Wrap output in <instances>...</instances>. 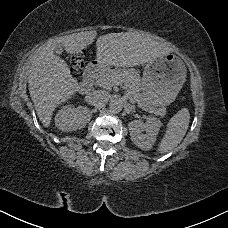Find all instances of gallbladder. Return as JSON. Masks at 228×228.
<instances>
[{
	"label": "gallbladder",
	"mask_w": 228,
	"mask_h": 228,
	"mask_svg": "<svg viewBox=\"0 0 228 228\" xmlns=\"http://www.w3.org/2000/svg\"><path fill=\"white\" fill-rule=\"evenodd\" d=\"M63 45L62 44H57L56 45V47H55V49H54V53L56 54V55H60V54H62V52H63Z\"/></svg>",
	"instance_id": "obj_1"
}]
</instances>
